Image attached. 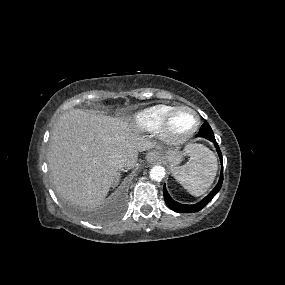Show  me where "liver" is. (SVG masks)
I'll use <instances>...</instances> for the list:
<instances>
[{
  "label": "liver",
  "instance_id": "1",
  "mask_svg": "<svg viewBox=\"0 0 285 285\" xmlns=\"http://www.w3.org/2000/svg\"><path fill=\"white\" fill-rule=\"evenodd\" d=\"M152 146L126 120L73 109L58 119L51 134L52 182L58 194L73 204L94 208L104 201L117 178L114 157L121 156L131 169L138 151Z\"/></svg>",
  "mask_w": 285,
  "mask_h": 285
}]
</instances>
